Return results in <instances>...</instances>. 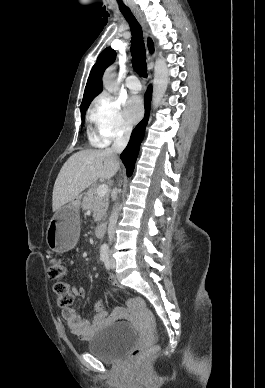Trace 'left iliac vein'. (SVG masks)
<instances>
[{"label":"left iliac vein","instance_id":"1","mask_svg":"<svg viewBox=\"0 0 265 388\" xmlns=\"http://www.w3.org/2000/svg\"><path fill=\"white\" fill-rule=\"evenodd\" d=\"M107 266L111 269H114L115 268V261L112 258H110Z\"/></svg>","mask_w":265,"mask_h":388}]
</instances>
